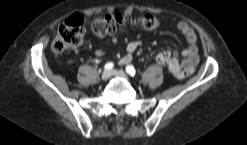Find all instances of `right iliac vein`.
<instances>
[{"label":"right iliac vein","instance_id":"63e3f726","mask_svg":"<svg viewBox=\"0 0 247 145\" xmlns=\"http://www.w3.org/2000/svg\"><path fill=\"white\" fill-rule=\"evenodd\" d=\"M111 77V71L110 70H104L102 75H101V79L103 81L108 80Z\"/></svg>","mask_w":247,"mask_h":145}]
</instances>
